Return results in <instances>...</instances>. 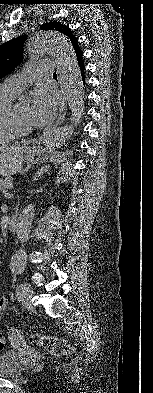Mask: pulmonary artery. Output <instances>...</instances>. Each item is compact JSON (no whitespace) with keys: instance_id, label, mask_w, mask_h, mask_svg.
Wrapping results in <instances>:
<instances>
[{"instance_id":"1","label":"pulmonary artery","mask_w":153,"mask_h":393,"mask_svg":"<svg viewBox=\"0 0 153 393\" xmlns=\"http://www.w3.org/2000/svg\"><path fill=\"white\" fill-rule=\"evenodd\" d=\"M54 66V62L50 60L35 62L23 73L7 78L3 86L18 94L22 92L28 84L38 79L42 74H50Z\"/></svg>"}]
</instances>
